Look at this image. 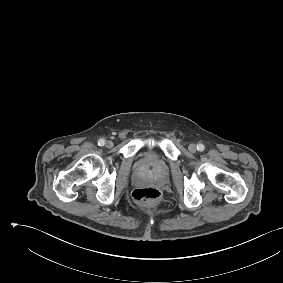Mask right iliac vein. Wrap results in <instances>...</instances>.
Instances as JSON below:
<instances>
[{
  "label": "right iliac vein",
  "instance_id": "obj_1",
  "mask_svg": "<svg viewBox=\"0 0 283 283\" xmlns=\"http://www.w3.org/2000/svg\"><path fill=\"white\" fill-rule=\"evenodd\" d=\"M105 146H106L107 148H111V147H113V142H112V141H107V142L105 143Z\"/></svg>",
  "mask_w": 283,
  "mask_h": 283
}]
</instances>
